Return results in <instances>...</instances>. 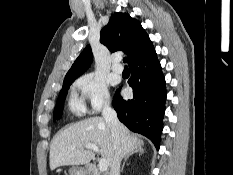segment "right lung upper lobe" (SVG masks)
<instances>
[{
  "mask_svg": "<svg viewBox=\"0 0 233 175\" xmlns=\"http://www.w3.org/2000/svg\"><path fill=\"white\" fill-rule=\"evenodd\" d=\"M100 42L111 52L123 51L128 56V64L154 51L153 44L140 22L127 13H115L100 32ZM93 54L88 45L78 56L64 81L75 80L92 63Z\"/></svg>",
  "mask_w": 233,
  "mask_h": 175,
  "instance_id": "obj_1",
  "label": "right lung upper lobe"
}]
</instances>
